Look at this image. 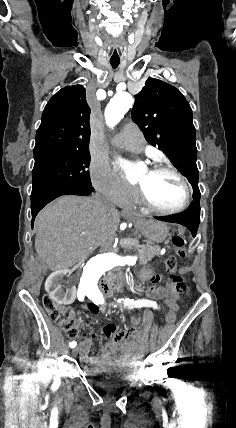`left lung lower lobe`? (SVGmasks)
I'll return each instance as SVG.
<instances>
[{"label": "left lung lower lobe", "instance_id": "left-lung-lower-lobe-1", "mask_svg": "<svg viewBox=\"0 0 236 428\" xmlns=\"http://www.w3.org/2000/svg\"><path fill=\"white\" fill-rule=\"evenodd\" d=\"M200 196V192L194 193L193 202L190 204L189 208L181 214L155 218L161 221L184 225L191 231L192 235L195 236L200 222Z\"/></svg>", "mask_w": 236, "mask_h": 428}]
</instances>
